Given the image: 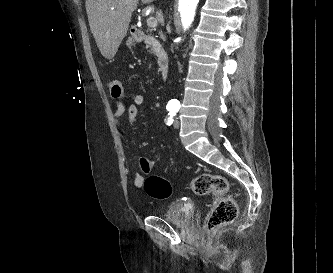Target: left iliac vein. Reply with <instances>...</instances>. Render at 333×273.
Masks as SVG:
<instances>
[{"label": "left iliac vein", "instance_id": "1", "mask_svg": "<svg viewBox=\"0 0 333 273\" xmlns=\"http://www.w3.org/2000/svg\"><path fill=\"white\" fill-rule=\"evenodd\" d=\"M174 128L178 129L180 127V122L179 120H175L173 123Z\"/></svg>", "mask_w": 333, "mask_h": 273}]
</instances>
